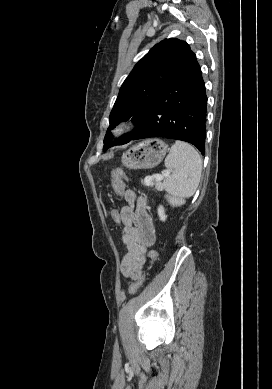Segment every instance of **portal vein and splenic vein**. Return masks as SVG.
<instances>
[{
  "label": "portal vein and splenic vein",
  "instance_id": "1",
  "mask_svg": "<svg viewBox=\"0 0 272 389\" xmlns=\"http://www.w3.org/2000/svg\"><path fill=\"white\" fill-rule=\"evenodd\" d=\"M170 175V172L169 171H166L164 173H162L161 175H154V176H151V177H145V183L147 185L151 184V181L152 180H156V181H161L163 180L165 177H168Z\"/></svg>",
  "mask_w": 272,
  "mask_h": 389
}]
</instances>
